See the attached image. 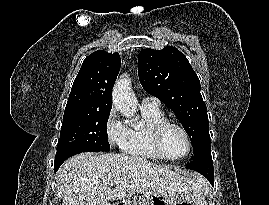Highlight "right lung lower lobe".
<instances>
[{
  "label": "right lung lower lobe",
  "instance_id": "1",
  "mask_svg": "<svg viewBox=\"0 0 269 205\" xmlns=\"http://www.w3.org/2000/svg\"><path fill=\"white\" fill-rule=\"evenodd\" d=\"M82 152H101L92 148L65 147L57 150L54 163V171L56 172L61 164L69 157Z\"/></svg>",
  "mask_w": 269,
  "mask_h": 205
}]
</instances>
